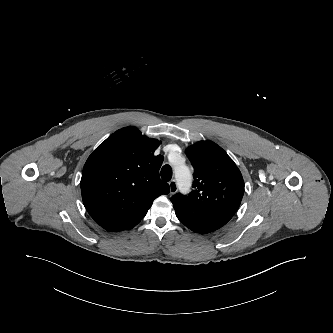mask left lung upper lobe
I'll return each mask as SVG.
<instances>
[{
	"instance_id": "1",
	"label": "left lung upper lobe",
	"mask_w": 333,
	"mask_h": 333,
	"mask_svg": "<svg viewBox=\"0 0 333 333\" xmlns=\"http://www.w3.org/2000/svg\"><path fill=\"white\" fill-rule=\"evenodd\" d=\"M194 167L193 191L180 193L171 202L203 205L220 201H236L240 205L244 181L236 164L227 153L212 141H200L186 149Z\"/></svg>"
}]
</instances>
